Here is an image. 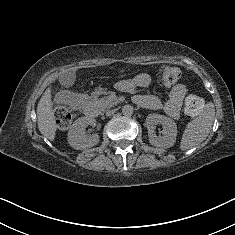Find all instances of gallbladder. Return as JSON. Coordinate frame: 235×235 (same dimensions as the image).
Segmentation results:
<instances>
[{
	"label": "gallbladder",
	"mask_w": 235,
	"mask_h": 235,
	"mask_svg": "<svg viewBox=\"0 0 235 235\" xmlns=\"http://www.w3.org/2000/svg\"><path fill=\"white\" fill-rule=\"evenodd\" d=\"M72 82L65 83L64 86L70 85Z\"/></svg>",
	"instance_id": "gallbladder-1"
}]
</instances>
